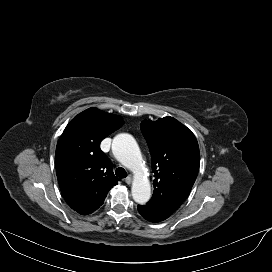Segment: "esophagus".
<instances>
[{"label":"esophagus","mask_w":272,"mask_h":272,"mask_svg":"<svg viewBox=\"0 0 272 272\" xmlns=\"http://www.w3.org/2000/svg\"><path fill=\"white\" fill-rule=\"evenodd\" d=\"M125 182L127 184H131V182H132V175H128V177L125 179Z\"/></svg>","instance_id":"obj_1"}]
</instances>
